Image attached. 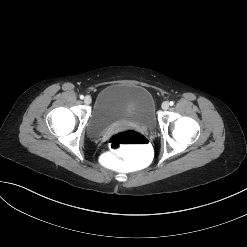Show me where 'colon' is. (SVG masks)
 <instances>
[{
	"instance_id": "colon-1",
	"label": "colon",
	"mask_w": 247,
	"mask_h": 247,
	"mask_svg": "<svg viewBox=\"0 0 247 247\" xmlns=\"http://www.w3.org/2000/svg\"><path fill=\"white\" fill-rule=\"evenodd\" d=\"M109 147L99 154V163L114 173H135L149 166L154 159V148L148 139L135 130L114 133L109 139Z\"/></svg>"
}]
</instances>
